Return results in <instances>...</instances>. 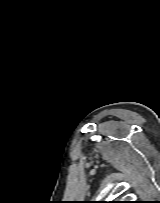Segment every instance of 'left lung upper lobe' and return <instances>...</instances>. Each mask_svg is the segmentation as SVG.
Masks as SVG:
<instances>
[{
  "label": "left lung upper lobe",
  "instance_id": "obj_1",
  "mask_svg": "<svg viewBox=\"0 0 160 203\" xmlns=\"http://www.w3.org/2000/svg\"><path fill=\"white\" fill-rule=\"evenodd\" d=\"M108 203H120V202H114V201H111V202H108Z\"/></svg>",
  "mask_w": 160,
  "mask_h": 203
}]
</instances>
